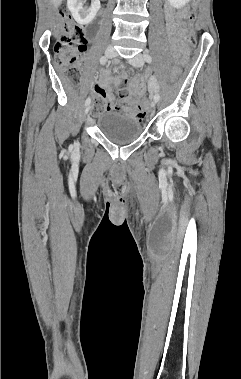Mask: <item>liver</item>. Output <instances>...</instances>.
Returning <instances> with one entry per match:
<instances>
[{
	"label": "liver",
	"mask_w": 241,
	"mask_h": 379,
	"mask_svg": "<svg viewBox=\"0 0 241 379\" xmlns=\"http://www.w3.org/2000/svg\"><path fill=\"white\" fill-rule=\"evenodd\" d=\"M52 1H53L55 6L60 5V3L62 2V0H52Z\"/></svg>",
	"instance_id": "1"
}]
</instances>
